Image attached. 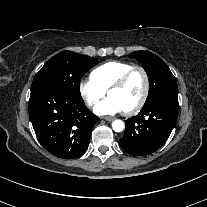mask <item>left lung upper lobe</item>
<instances>
[{
  "label": "left lung upper lobe",
  "instance_id": "5c2ea615",
  "mask_svg": "<svg viewBox=\"0 0 207 207\" xmlns=\"http://www.w3.org/2000/svg\"><path fill=\"white\" fill-rule=\"evenodd\" d=\"M130 58L139 60L149 77L150 91L145 105L161 94L178 92L176 78L157 55L145 51H136L130 54Z\"/></svg>",
  "mask_w": 207,
  "mask_h": 207
}]
</instances>
